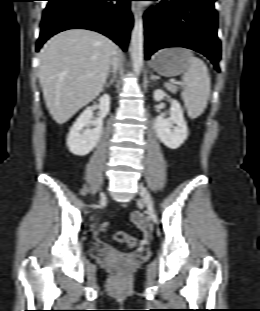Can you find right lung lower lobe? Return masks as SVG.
Here are the masks:
<instances>
[{
    "instance_id": "right-lung-lower-lobe-1",
    "label": "right lung lower lobe",
    "mask_w": 260,
    "mask_h": 311,
    "mask_svg": "<svg viewBox=\"0 0 260 311\" xmlns=\"http://www.w3.org/2000/svg\"><path fill=\"white\" fill-rule=\"evenodd\" d=\"M36 51L58 32L82 28L100 32L126 51L133 18L131 0H47Z\"/></svg>"
}]
</instances>
